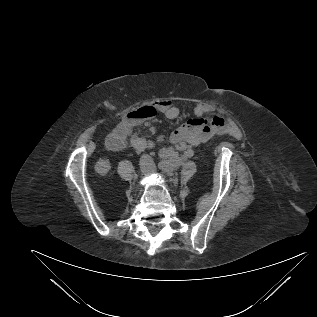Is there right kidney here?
<instances>
[{
	"mask_svg": "<svg viewBox=\"0 0 317 317\" xmlns=\"http://www.w3.org/2000/svg\"><path fill=\"white\" fill-rule=\"evenodd\" d=\"M94 168L99 175L105 176L111 169V163L108 159H99Z\"/></svg>",
	"mask_w": 317,
	"mask_h": 317,
	"instance_id": "1",
	"label": "right kidney"
}]
</instances>
